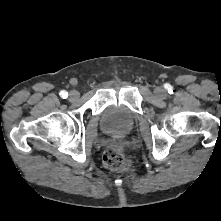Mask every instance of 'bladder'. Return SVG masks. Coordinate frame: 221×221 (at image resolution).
<instances>
[{
	"mask_svg": "<svg viewBox=\"0 0 221 221\" xmlns=\"http://www.w3.org/2000/svg\"><path fill=\"white\" fill-rule=\"evenodd\" d=\"M135 123L133 113L124 106L112 105L102 113L100 125L109 134H124L129 132Z\"/></svg>",
	"mask_w": 221,
	"mask_h": 221,
	"instance_id": "bladder-1",
	"label": "bladder"
}]
</instances>
